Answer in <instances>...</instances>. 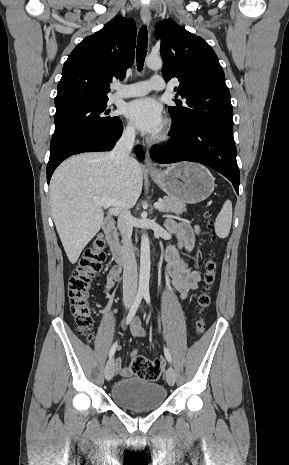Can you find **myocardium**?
<instances>
[{"mask_svg": "<svg viewBox=\"0 0 289 465\" xmlns=\"http://www.w3.org/2000/svg\"><path fill=\"white\" fill-rule=\"evenodd\" d=\"M168 138V131L163 132L158 137L155 138V141H164Z\"/></svg>", "mask_w": 289, "mask_h": 465, "instance_id": "f54148a6", "label": "myocardium"}]
</instances>
